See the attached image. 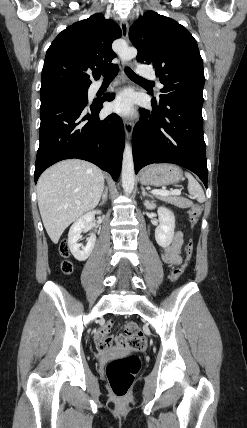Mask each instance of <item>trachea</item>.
Here are the masks:
<instances>
[{
	"label": "trachea",
	"instance_id": "trachea-1",
	"mask_svg": "<svg viewBox=\"0 0 247 428\" xmlns=\"http://www.w3.org/2000/svg\"><path fill=\"white\" fill-rule=\"evenodd\" d=\"M99 72L104 76V80H112L117 75V69L100 70ZM125 72L128 75V77L133 79V80L150 82V81L138 76L137 74H135L130 68H126Z\"/></svg>",
	"mask_w": 247,
	"mask_h": 428
}]
</instances>
